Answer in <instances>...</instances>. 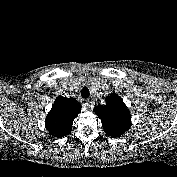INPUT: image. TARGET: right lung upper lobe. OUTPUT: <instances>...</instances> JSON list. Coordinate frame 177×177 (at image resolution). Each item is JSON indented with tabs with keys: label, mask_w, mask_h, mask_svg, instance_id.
I'll list each match as a JSON object with an SVG mask.
<instances>
[{
	"label": "right lung upper lobe",
	"mask_w": 177,
	"mask_h": 177,
	"mask_svg": "<svg viewBox=\"0 0 177 177\" xmlns=\"http://www.w3.org/2000/svg\"><path fill=\"white\" fill-rule=\"evenodd\" d=\"M81 112V105L74 98L58 96L46 118L49 134L62 138L70 134L76 116Z\"/></svg>",
	"instance_id": "1"
}]
</instances>
